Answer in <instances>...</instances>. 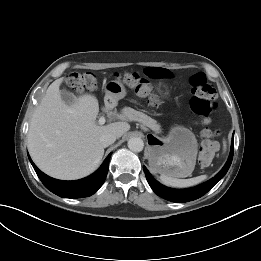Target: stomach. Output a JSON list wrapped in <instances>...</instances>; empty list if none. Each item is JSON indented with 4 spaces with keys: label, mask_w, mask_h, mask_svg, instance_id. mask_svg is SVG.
<instances>
[{
    "label": "stomach",
    "mask_w": 261,
    "mask_h": 261,
    "mask_svg": "<svg viewBox=\"0 0 261 261\" xmlns=\"http://www.w3.org/2000/svg\"><path fill=\"white\" fill-rule=\"evenodd\" d=\"M159 94L168 95L165 85L157 87ZM126 95V89L119 82L106 85L105 100L112 105ZM148 161L153 171L173 178H184L192 174L198 152V144L193 132L183 126H173L165 138L148 136Z\"/></svg>",
    "instance_id": "0dacf381"
}]
</instances>
